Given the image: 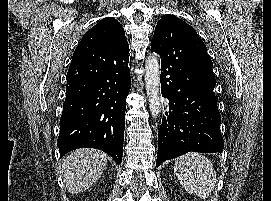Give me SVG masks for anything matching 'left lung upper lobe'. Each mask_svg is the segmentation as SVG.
Here are the masks:
<instances>
[{"label": "left lung upper lobe", "mask_w": 271, "mask_h": 201, "mask_svg": "<svg viewBox=\"0 0 271 201\" xmlns=\"http://www.w3.org/2000/svg\"><path fill=\"white\" fill-rule=\"evenodd\" d=\"M179 32L184 34L188 42L193 61L199 70L202 82L214 90L216 80L212 70L213 63L207 54L205 44L192 26L176 16L164 15L156 25L151 47L160 48Z\"/></svg>", "instance_id": "obj_1"}]
</instances>
